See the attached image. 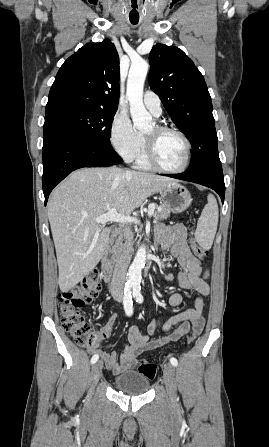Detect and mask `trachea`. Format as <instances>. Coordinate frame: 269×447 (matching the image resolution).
<instances>
[{
    "label": "trachea",
    "mask_w": 269,
    "mask_h": 447,
    "mask_svg": "<svg viewBox=\"0 0 269 447\" xmlns=\"http://www.w3.org/2000/svg\"><path fill=\"white\" fill-rule=\"evenodd\" d=\"M132 24H137L138 22H131Z\"/></svg>",
    "instance_id": "trachea-1"
}]
</instances>
